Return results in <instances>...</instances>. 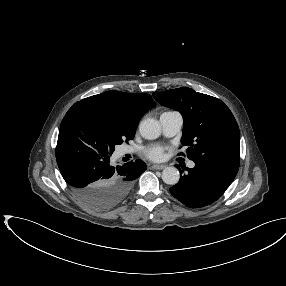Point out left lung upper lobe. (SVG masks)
I'll return each instance as SVG.
<instances>
[{"label":"left lung upper lobe","mask_w":286,"mask_h":286,"mask_svg":"<svg viewBox=\"0 0 286 286\" xmlns=\"http://www.w3.org/2000/svg\"><path fill=\"white\" fill-rule=\"evenodd\" d=\"M162 106L179 111L184 119L181 143L195 163H213L238 171L240 132L230 109L220 99L181 87L154 92Z\"/></svg>","instance_id":"left-lung-upper-lobe-1"}]
</instances>
